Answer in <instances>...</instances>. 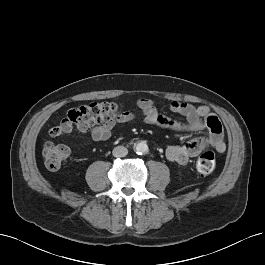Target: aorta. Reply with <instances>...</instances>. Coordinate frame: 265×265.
Returning <instances> with one entry per match:
<instances>
[{
  "label": "aorta",
  "instance_id": "1",
  "mask_svg": "<svg viewBox=\"0 0 265 265\" xmlns=\"http://www.w3.org/2000/svg\"><path fill=\"white\" fill-rule=\"evenodd\" d=\"M135 151L138 154H144L148 151V145L146 144V142L141 141L135 145Z\"/></svg>",
  "mask_w": 265,
  "mask_h": 265
}]
</instances>
